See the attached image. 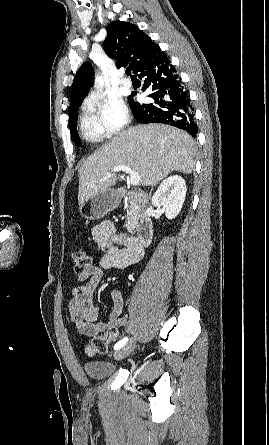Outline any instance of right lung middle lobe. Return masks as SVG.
Wrapping results in <instances>:
<instances>
[{"mask_svg": "<svg viewBox=\"0 0 269 445\" xmlns=\"http://www.w3.org/2000/svg\"><path fill=\"white\" fill-rule=\"evenodd\" d=\"M81 103H78L76 105H74L73 107L70 108V131L73 137V140L75 142L76 145H81V140L78 136V132H77V128H76V117H77V112H78V108L80 106Z\"/></svg>", "mask_w": 269, "mask_h": 445, "instance_id": "right-lung-middle-lobe-1", "label": "right lung middle lobe"}]
</instances>
